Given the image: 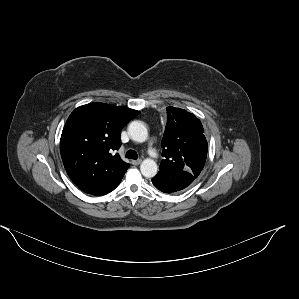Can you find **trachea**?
<instances>
[{"label": "trachea", "mask_w": 299, "mask_h": 299, "mask_svg": "<svg viewBox=\"0 0 299 299\" xmlns=\"http://www.w3.org/2000/svg\"><path fill=\"white\" fill-rule=\"evenodd\" d=\"M126 158L136 160V159L138 158V154H137L136 151H134V150H128V151L126 152Z\"/></svg>", "instance_id": "obj_1"}]
</instances>
